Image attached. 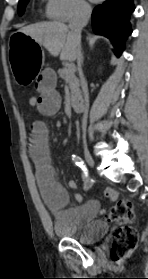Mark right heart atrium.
Listing matches in <instances>:
<instances>
[{
	"label": "right heart atrium",
	"instance_id": "right-heart-atrium-1",
	"mask_svg": "<svg viewBox=\"0 0 148 279\" xmlns=\"http://www.w3.org/2000/svg\"><path fill=\"white\" fill-rule=\"evenodd\" d=\"M90 7L85 0H47L46 14L61 22H70L85 17Z\"/></svg>",
	"mask_w": 148,
	"mask_h": 279
}]
</instances>
